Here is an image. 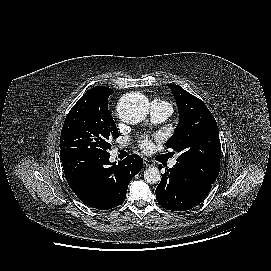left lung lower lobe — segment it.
Returning a JSON list of instances; mask_svg holds the SVG:
<instances>
[{
    "mask_svg": "<svg viewBox=\"0 0 271 271\" xmlns=\"http://www.w3.org/2000/svg\"><path fill=\"white\" fill-rule=\"evenodd\" d=\"M165 171L155 194L159 205L168 210L186 211L197 206L213 185L177 164Z\"/></svg>",
    "mask_w": 271,
    "mask_h": 271,
    "instance_id": "1",
    "label": "left lung lower lobe"
}]
</instances>
